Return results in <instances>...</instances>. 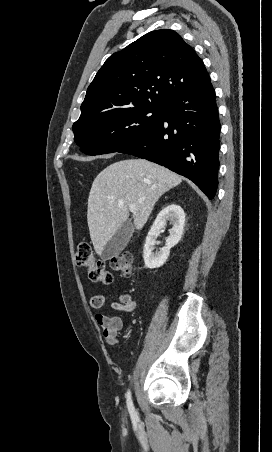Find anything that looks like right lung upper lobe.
<instances>
[{"mask_svg":"<svg viewBox=\"0 0 272 452\" xmlns=\"http://www.w3.org/2000/svg\"><path fill=\"white\" fill-rule=\"evenodd\" d=\"M209 79L203 61L179 34L152 31L105 61L77 121L138 106L163 107Z\"/></svg>","mask_w":272,"mask_h":452,"instance_id":"1","label":"right lung upper lobe"}]
</instances>
